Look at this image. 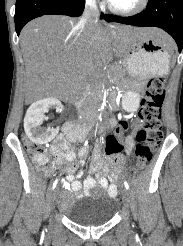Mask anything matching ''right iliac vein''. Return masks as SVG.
I'll return each instance as SVG.
<instances>
[{
    "instance_id": "63e3f726",
    "label": "right iliac vein",
    "mask_w": 183,
    "mask_h": 246,
    "mask_svg": "<svg viewBox=\"0 0 183 246\" xmlns=\"http://www.w3.org/2000/svg\"><path fill=\"white\" fill-rule=\"evenodd\" d=\"M58 195H59V188H56V189L54 190L52 196H51V206H50L51 210H52L53 207H54V204H55V202H56V200H57V198H58Z\"/></svg>"
}]
</instances>
